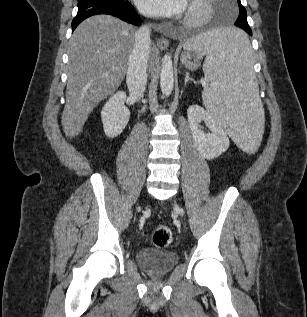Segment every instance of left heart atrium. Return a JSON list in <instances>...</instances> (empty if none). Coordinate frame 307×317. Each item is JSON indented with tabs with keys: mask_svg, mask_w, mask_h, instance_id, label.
I'll return each instance as SVG.
<instances>
[{
	"mask_svg": "<svg viewBox=\"0 0 307 317\" xmlns=\"http://www.w3.org/2000/svg\"><path fill=\"white\" fill-rule=\"evenodd\" d=\"M139 10L149 16L170 17L185 11L186 0H136Z\"/></svg>",
	"mask_w": 307,
	"mask_h": 317,
	"instance_id": "1",
	"label": "left heart atrium"
}]
</instances>
